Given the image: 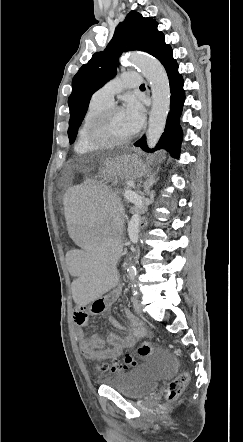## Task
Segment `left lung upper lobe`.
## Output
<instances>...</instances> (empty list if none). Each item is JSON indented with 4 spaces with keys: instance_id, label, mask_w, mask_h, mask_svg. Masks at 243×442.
<instances>
[{
    "instance_id": "left-lung-upper-lobe-1",
    "label": "left lung upper lobe",
    "mask_w": 243,
    "mask_h": 442,
    "mask_svg": "<svg viewBox=\"0 0 243 442\" xmlns=\"http://www.w3.org/2000/svg\"><path fill=\"white\" fill-rule=\"evenodd\" d=\"M158 23L151 17L144 18L131 11L118 25L107 47L96 52L84 64L72 80V93L68 98L70 120L68 136L72 143L89 106L90 98L106 82L116 75V61L126 51L139 50L154 54L164 34L157 29Z\"/></svg>"
}]
</instances>
